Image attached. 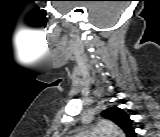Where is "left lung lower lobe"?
<instances>
[{
  "label": "left lung lower lobe",
  "mask_w": 160,
  "mask_h": 137,
  "mask_svg": "<svg viewBox=\"0 0 160 137\" xmlns=\"http://www.w3.org/2000/svg\"><path fill=\"white\" fill-rule=\"evenodd\" d=\"M127 136L135 137V132H134V130H132Z\"/></svg>",
  "instance_id": "0a47b994"
}]
</instances>
